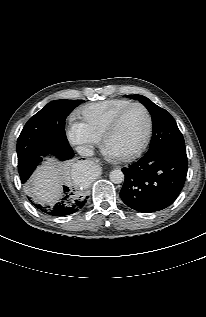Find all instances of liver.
<instances>
[{
	"instance_id": "1",
	"label": "liver",
	"mask_w": 206,
	"mask_h": 317,
	"mask_svg": "<svg viewBox=\"0 0 206 317\" xmlns=\"http://www.w3.org/2000/svg\"><path fill=\"white\" fill-rule=\"evenodd\" d=\"M69 164H55L49 160L39 167L32 176V193L42 204L56 202L61 196L62 185L69 181Z\"/></svg>"
}]
</instances>
